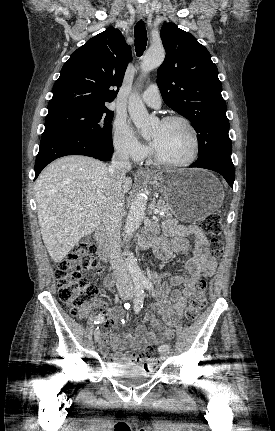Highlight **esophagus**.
Masks as SVG:
<instances>
[{"mask_svg": "<svg viewBox=\"0 0 275 431\" xmlns=\"http://www.w3.org/2000/svg\"><path fill=\"white\" fill-rule=\"evenodd\" d=\"M137 13L141 17H145L146 16V10L144 8H141V7L137 8ZM136 173L139 176H150V175H152V173L150 171H146V170H143V169H138Z\"/></svg>", "mask_w": 275, "mask_h": 431, "instance_id": "1", "label": "esophagus"}]
</instances>
